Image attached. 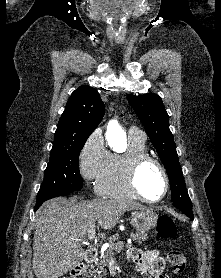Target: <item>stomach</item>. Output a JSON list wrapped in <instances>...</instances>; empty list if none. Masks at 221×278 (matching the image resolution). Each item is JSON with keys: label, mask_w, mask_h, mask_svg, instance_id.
I'll use <instances>...</instances> for the list:
<instances>
[{"label": "stomach", "mask_w": 221, "mask_h": 278, "mask_svg": "<svg viewBox=\"0 0 221 278\" xmlns=\"http://www.w3.org/2000/svg\"><path fill=\"white\" fill-rule=\"evenodd\" d=\"M158 215L151 209H142L132 213V225L138 232H146L154 228Z\"/></svg>", "instance_id": "0dacf381"}]
</instances>
